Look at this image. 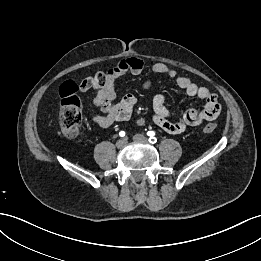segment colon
I'll list each match as a JSON object with an SVG mask.
<instances>
[{"mask_svg":"<svg viewBox=\"0 0 261 261\" xmlns=\"http://www.w3.org/2000/svg\"><path fill=\"white\" fill-rule=\"evenodd\" d=\"M83 87L89 90H98L105 86L106 76L104 72L83 81ZM60 103L57 108V118L62 133L69 138H76L80 132L82 121L81 99L78 95V86L72 82H64L59 89ZM217 128L216 123H208L204 127V132L211 133Z\"/></svg>","mask_w":261,"mask_h":261,"instance_id":"1","label":"colon"}]
</instances>
